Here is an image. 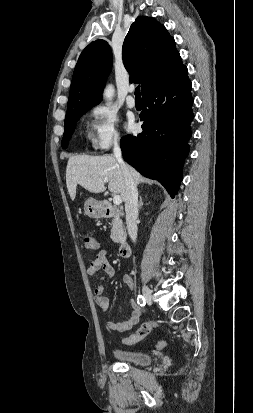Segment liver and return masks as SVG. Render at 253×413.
Masks as SVG:
<instances>
[{"mask_svg":"<svg viewBox=\"0 0 253 413\" xmlns=\"http://www.w3.org/2000/svg\"><path fill=\"white\" fill-rule=\"evenodd\" d=\"M128 167L135 184H139L142 176L131 166ZM104 179L109 181V190L113 194H120L122 200L125 201L126 185L123 171L113 156L79 155L69 158L66 168V184L72 200L75 199L78 184L92 193L104 192L106 190Z\"/></svg>","mask_w":253,"mask_h":413,"instance_id":"1","label":"liver"}]
</instances>
